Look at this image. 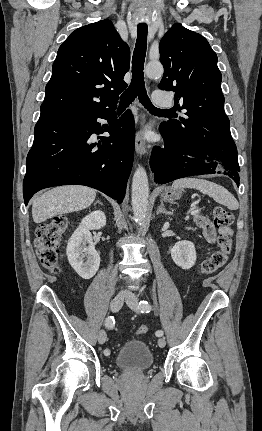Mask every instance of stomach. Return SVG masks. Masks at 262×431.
<instances>
[{
	"label": "stomach",
	"mask_w": 262,
	"mask_h": 431,
	"mask_svg": "<svg viewBox=\"0 0 262 431\" xmlns=\"http://www.w3.org/2000/svg\"><path fill=\"white\" fill-rule=\"evenodd\" d=\"M182 191L180 189L175 188H165L162 193V199L167 202H172L180 198Z\"/></svg>",
	"instance_id": "1"
}]
</instances>
